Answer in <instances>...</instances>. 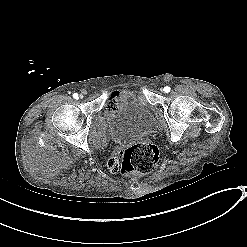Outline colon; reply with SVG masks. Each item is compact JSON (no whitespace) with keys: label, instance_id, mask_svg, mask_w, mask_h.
Returning a JSON list of instances; mask_svg holds the SVG:
<instances>
[{"label":"colon","instance_id":"colon-1","mask_svg":"<svg viewBox=\"0 0 247 247\" xmlns=\"http://www.w3.org/2000/svg\"><path fill=\"white\" fill-rule=\"evenodd\" d=\"M158 161V148L152 143H141L122 152L118 173L125 175L132 171L148 172L155 167Z\"/></svg>","mask_w":247,"mask_h":247}]
</instances>
